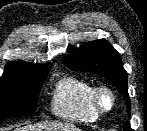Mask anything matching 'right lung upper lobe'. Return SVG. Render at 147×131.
Returning <instances> with one entry per match:
<instances>
[{"instance_id":"right-lung-upper-lobe-1","label":"right lung upper lobe","mask_w":147,"mask_h":131,"mask_svg":"<svg viewBox=\"0 0 147 131\" xmlns=\"http://www.w3.org/2000/svg\"><path fill=\"white\" fill-rule=\"evenodd\" d=\"M51 64H46L43 66L33 65L28 62L18 61V62H9L5 66V75H28V74H39L45 73L50 70Z\"/></svg>"}]
</instances>
